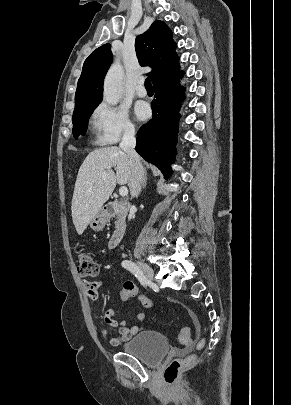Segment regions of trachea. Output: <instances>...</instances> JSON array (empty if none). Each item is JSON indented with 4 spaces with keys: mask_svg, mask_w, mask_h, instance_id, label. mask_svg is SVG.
I'll use <instances>...</instances> for the list:
<instances>
[{
    "mask_svg": "<svg viewBox=\"0 0 291 405\" xmlns=\"http://www.w3.org/2000/svg\"><path fill=\"white\" fill-rule=\"evenodd\" d=\"M145 87H146V89H152L153 88L149 77H147L146 80H145Z\"/></svg>",
    "mask_w": 291,
    "mask_h": 405,
    "instance_id": "1",
    "label": "trachea"
}]
</instances>
